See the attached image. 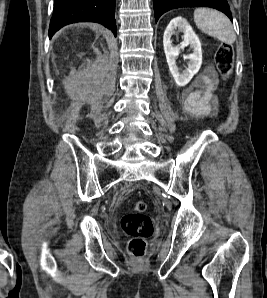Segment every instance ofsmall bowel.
<instances>
[{"label": "small bowel", "mask_w": 267, "mask_h": 298, "mask_svg": "<svg viewBox=\"0 0 267 298\" xmlns=\"http://www.w3.org/2000/svg\"><path fill=\"white\" fill-rule=\"evenodd\" d=\"M215 84V72L209 67L195 82V89L186 96L185 111L194 117L214 115L217 108V102L213 96Z\"/></svg>", "instance_id": "obj_1"}]
</instances>
